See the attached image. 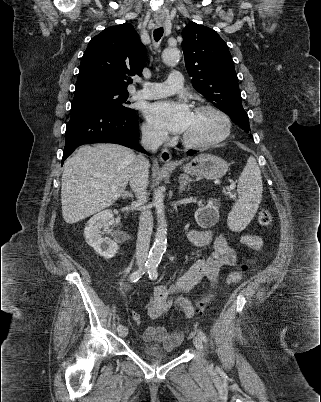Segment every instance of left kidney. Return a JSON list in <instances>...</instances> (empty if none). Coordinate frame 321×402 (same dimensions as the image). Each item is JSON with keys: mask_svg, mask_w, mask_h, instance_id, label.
I'll list each match as a JSON object with an SVG mask.
<instances>
[{"mask_svg": "<svg viewBox=\"0 0 321 402\" xmlns=\"http://www.w3.org/2000/svg\"><path fill=\"white\" fill-rule=\"evenodd\" d=\"M219 206V201L210 199L205 207L198 209L194 214L198 225L204 228L215 225L219 220Z\"/></svg>", "mask_w": 321, "mask_h": 402, "instance_id": "1", "label": "left kidney"}]
</instances>
